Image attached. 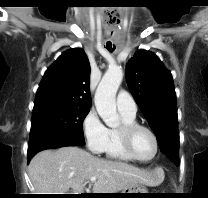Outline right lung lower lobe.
I'll return each instance as SVG.
<instances>
[{
  "label": "right lung lower lobe",
  "mask_w": 208,
  "mask_h": 198,
  "mask_svg": "<svg viewBox=\"0 0 208 198\" xmlns=\"http://www.w3.org/2000/svg\"><path fill=\"white\" fill-rule=\"evenodd\" d=\"M82 142H79L75 139L62 136V135H54L45 137L33 142H29L28 152H27V159L28 162L30 159L39 151L44 149H55L64 146H83Z\"/></svg>",
  "instance_id": "right-lung-lower-lobe-1"
}]
</instances>
